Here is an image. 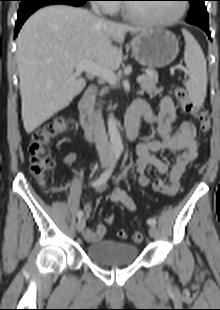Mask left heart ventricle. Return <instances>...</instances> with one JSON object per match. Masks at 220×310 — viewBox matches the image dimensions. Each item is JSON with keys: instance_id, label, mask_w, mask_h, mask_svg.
<instances>
[{"instance_id": "1", "label": "left heart ventricle", "mask_w": 220, "mask_h": 310, "mask_svg": "<svg viewBox=\"0 0 220 310\" xmlns=\"http://www.w3.org/2000/svg\"><path fill=\"white\" fill-rule=\"evenodd\" d=\"M179 3L129 4L131 11L152 20H165L173 17L179 10Z\"/></svg>"}]
</instances>
